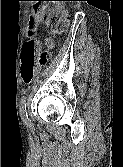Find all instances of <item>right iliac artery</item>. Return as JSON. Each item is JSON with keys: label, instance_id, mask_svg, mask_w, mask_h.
I'll list each match as a JSON object with an SVG mask.
<instances>
[{"label": "right iliac artery", "instance_id": "obj_1", "mask_svg": "<svg viewBox=\"0 0 123 167\" xmlns=\"http://www.w3.org/2000/svg\"><path fill=\"white\" fill-rule=\"evenodd\" d=\"M20 115L25 124L29 123L28 114L26 111V98L23 97L20 102Z\"/></svg>", "mask_w": 123, "mask_h": 167}]
</instances>
